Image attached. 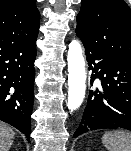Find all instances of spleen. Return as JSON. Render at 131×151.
<instances>
[{"label": "spleen", "instance_id": "1", "mask_svg": "<svg viewBox=\"0 0 131 151\" xmlns=\"http://www.w3.org/2000/svg\"><path fill=\"white\" fill-rule=\"evenodd\" d=\"M101 141L108 151H131V134L128 132L109 131Z\"/></svg>", "mask_w": 131, "mask_h": 151}]
</instances>
